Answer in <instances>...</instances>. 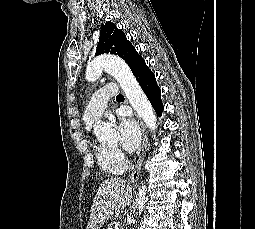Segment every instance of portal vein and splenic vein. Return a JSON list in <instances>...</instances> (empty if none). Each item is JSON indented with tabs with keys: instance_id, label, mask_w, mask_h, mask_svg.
Masks as SVG:
<instances>
[{
	"instance_id": "portal-vein-and-splenic-vein-1",
	"label": "portal vein and splenic vein",
	"mask_w": 255,
	"mask_h": 229,
	"mask_svg": "<svg viewBox=\"0 0 255 229\" xmlns=\"http://www.w3.org/2000/svg\"><path fill=\"white\" fill-rule=\"evenodd\" d=\"M118 225H119V223L115 226V228H114V229H119V228H118Z\"/></svg>"
}]
</instances>
